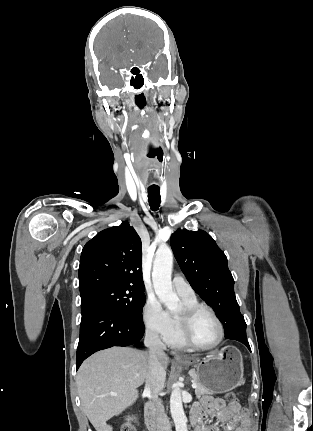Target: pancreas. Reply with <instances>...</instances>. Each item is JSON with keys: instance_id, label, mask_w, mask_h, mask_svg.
<instances>
[{"instance_id": "1", "label": "pancreas", "mask_w": 313, "mask_h": 431, "mask_svg": "<svg viewBox=\"0 0 313 431\" xmlns=\"http://www.w3.org/2000/svg\"><path fill=\"white\" fill-rule=\"evenodd\" d=\"M193 382L197 384V388L195 389V394L198 398H200L204 394H212L209 390H207L200 382L195 372H190Z\"/></svg>"}]
</instances>
